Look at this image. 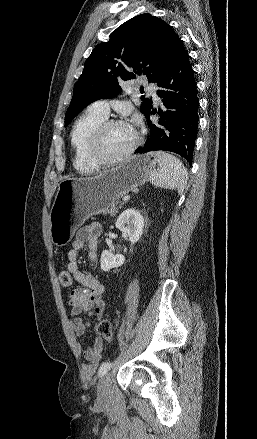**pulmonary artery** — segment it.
<instances>
[{
  "instance_id": "pulmonary-artery-1",
  "label": "pulmonary artery",
  "mask_w": 257,
  "mask_h": 439,
  "mask_svg": "<svg viewBox=\"0 0 257 439\" xmlns=\"http://www.w3.org/2000/svg\"><path fill=\"white\" fill-rule=\"evenodd\" d=\"M147 94L153 98L155 103H160V99L157 94V88L155 85L153 84L148 85ZM90 109L104 116H107L109 113V106L105 100H98L93 102L90 106Z\"/></svg>"
}]
</instances>
